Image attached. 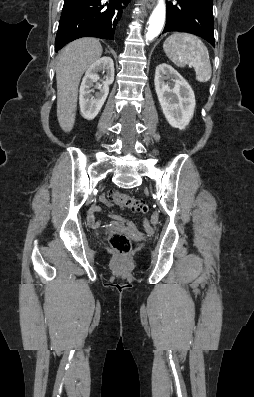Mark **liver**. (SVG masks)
<instances>
[{"mask_svg":"<svg viewBox=\"0 0 254 397\" xmlns=\"http://www.w3.org/2000/svg\"><path fill=\"white\" fill-rule=\"evenodd\" d=\"M102 52L97 39L81 38L66 45L57 56V118L64 132H70L75 123L81 77Z\"/></svg>","mask_w":254,"mask_h":397,"instance_id":"liver-1","label":"liver"}]
</instances>
